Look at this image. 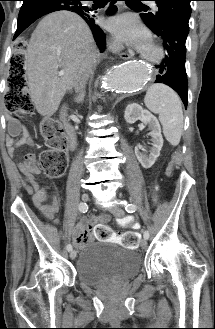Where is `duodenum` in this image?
<instances>
[{
    "mask_svg": "<svg viewBox=\"0 0 215 329\" xmlns=\"http://www.w3.org/2000/svg\"><path fill=\"white\" fill-rule=\"evenodd\" d=\"M67 116H68V106L64 105L61 110V118L64 121L65 131L69 139V147L70 149L73 150L76 147L77 141H76L74 129L72 125L69 123Z\"/></svg>",
    "mask_w": 215,
    "mask_h": 329,
    "instance_id": "duodenum-1",
    "label": "duodenum"
}]
</instances>
